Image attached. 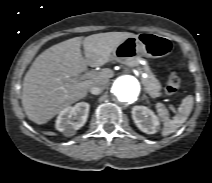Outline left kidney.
<instances>
[{
    "mask_svg": "<svg viewBox=\"0 0 212 183\" xmlns=\"http://www.w3.org/2000/svg\"><path fill=\"white\" fill-rule=\"evenodd\" d=\"M132 118L136 126L146 134H155L160 125L158 117L146 106L133 107Z\"/></svg>",
    "mask_w": 212,
    "mask_h": 183,
    "instance_id": "5707ae66",
    "label": "left kidney"
}]
</instances>
